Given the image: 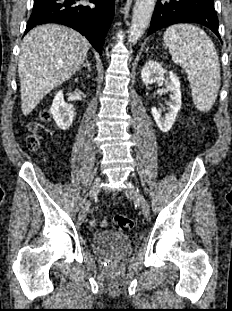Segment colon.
Returning a JSON list of instances; mask_svg holds the SVG:
<instances>
[{"mask_svg": "<svg viewBox=\"0 0 232 311\" xmlns=\"http://www.w3.org/2000/svg\"><path fill=\"white\" fill-rule=\"evenodd\" d=\"M40 117L42 120H46L48 119L49 114L47 112H42ZM29 129L31 134L26 139L27 147L32 151H36L40 148V139L36 135L37 124H30ZM111 224L115 229L120 231H131L133 229V221L130 218L120 214L112 216Z\"/></svg>", "mask_w": 232, "mask_h": 311, "instance_id": "obj_1", "label": "colon"}]
</instances>
